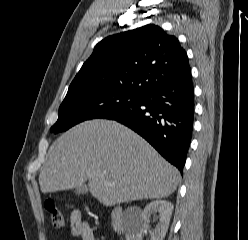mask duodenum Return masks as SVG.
I'll use <instances>...</instances> for the list:
<instances>
[{"label": "duodenum", "instance_id": "1", "mask_svg": "<svg viewBox=\"0 0 248 240\" xmlns=\"http://www.w3.org/2000/svg\"><path fill=\"white\" fill-rule=\"evenodd\" d=\"M125 220L123 209L119 206L114 207L111 211V227L116 232H123L125 230Z\"/></svg>", "mask_w": 248, "mask_h": 240}]
</instances>
